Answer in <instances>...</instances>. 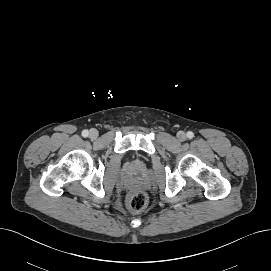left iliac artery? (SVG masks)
Listing matches in <instances>:
<instances>
[{"instance_id": "left-iliac-artery-1", "label": "left iliac artery", "mask_w": 271, "mask_h": 271, "mask_svg": "<svg viewBox=\"0 0 271 271\" xmlns=\"http://www.w3.org/2000/svg\"><path fill=\"white\" fill-rule=\"evenodd\" d=\"M187 137H188L189 139H192V138L194 137V133L191 132V131L187 132Z\"/></svg>"}]
</instances>
